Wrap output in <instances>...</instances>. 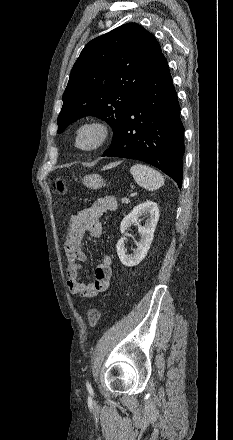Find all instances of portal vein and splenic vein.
Instances as JSON below:
<instances>
[{
  "label": "portal vein and splenic vein",
  "mask_w": 233,
  "mask_h": 440,
  "mask_svg": "<svg viewBox=\"0 0 233 440\" xmlns=\"http://www.w3.org/2000/svg\"><path fill=\"white\" fill-rule=\"evenodd\" d=\"M136 195V192L131 193V197H134Z\"/></svg>",
  "instance_id": "obj_1"
}]
</instances>
